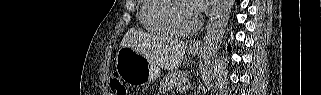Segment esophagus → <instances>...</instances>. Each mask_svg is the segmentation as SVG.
Masks as SVG:
<instances>
[{"label":"esophagus","mask_w":321,"mask_h":95,"mask_svg":"<svg viewBox=\"0 0 321 95\" xmlns=\"http://www.w3.org/2000/svg\"><path fill=\"white\" fill-rule=\"evenodd\" d=\"M191 47H199L200 46V41H193L190 45Z\"/></svg>","instance_id":"1"}]
</instances>
